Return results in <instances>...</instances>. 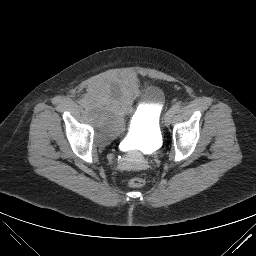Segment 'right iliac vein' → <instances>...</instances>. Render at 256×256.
Masks as SVG:
<instances>
[{"label":"right iliac vein","instance_id":"1","mask_svg":"<svg viewBox=\"0 0 256 256\" xmlns=\"http://www.w3.org/2000/svg\"><path fill=\"white\" fill-rule=\"evenodd\" d=\"M84 110H85V111H89V110H90V107H89V106H85V107H84Z\"/></svg>","mask_w":256,"mask_h":256}]
</instances>
